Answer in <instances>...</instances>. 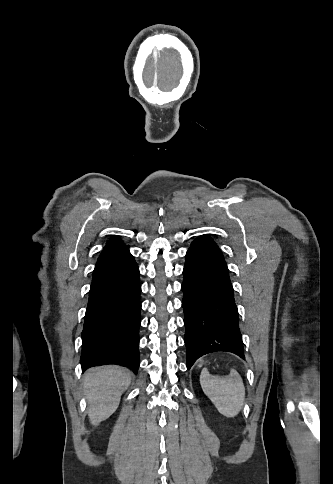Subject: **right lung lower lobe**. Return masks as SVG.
<instances>
[{"label": "right lung lower lobe", "mask_w": 333, "mask_h": 484, "mask_svg": "<svg viewBox=\"0 0 333 484\" xmlns=\"http://www.w3.org/2000/svg\"><path fill=\"white\" fill-rule=\"evenodd\" d=\"M139 269L124 245L104 249L96 263L82 332L83 371L118 364L137 373L140 327Z\"/></svg>", "instance_id": "98d812e1"}]
</instances>
